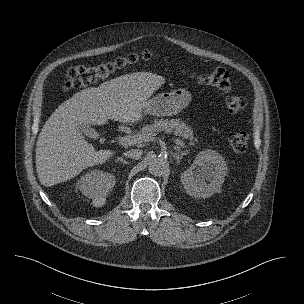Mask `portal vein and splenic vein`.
I'll use <instances>...</instances> for the list:
<instances>
[{"instance_id": "18ae733b", "label": "portal vein and splenic vein", "mask_w": 304, "mask_h": 304, "mask_svg": "<svg viewBox=\"0 0 304 304\" xmlns=\"http://www.w3.org/2000/svg\"><path fill=\"white\" fill-rule=\"evenodd\" d=\"M140 140H142V137H137L134 135H126L124 137L119 138V144L123 145V146H131V145H135L137 143H140ZM147 140V139H145ZM174 143H176L177 145L184 147L185 144L182 140L178 139V138H173Z\"/></svg>"}]
</instances>
